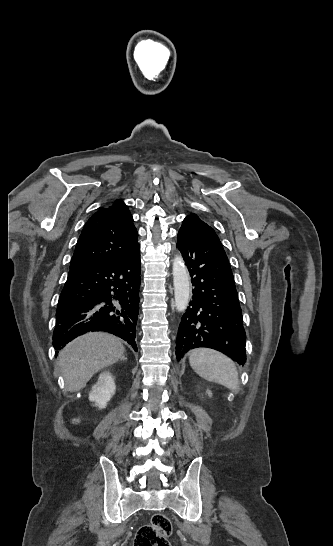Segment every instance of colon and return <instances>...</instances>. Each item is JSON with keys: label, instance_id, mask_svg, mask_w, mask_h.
Returning a JSON list of instances; mask_svg holds the SVG:
<instances>
[{"label": "colon", "instance_id": "colon-1", "mask_svg": "<svg viewBox=\"0 0 333 546\" xmlns=\"http://www.w3.org/2000/svg\"><path fill=\"white\" fill-rule=\"evenodd\" d=\"M171 532L172 524L170 519L164 514H155L150 524L138 529L134 546H170L168 537Z\"/></svg>", "mask_w": 333, "mask_h": 546}]
</instances>
